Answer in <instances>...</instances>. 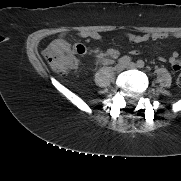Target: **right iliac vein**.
<instances>
[{"mask_svg": "<svg viewBox=\"0 0 181 181\" xmlns=\"http://www.w3.org/2000/svg\"><path fill=\"white\" fill-rule=\"evenodd\" d=\"M125 67H126L125 64L119 63L115 66V71L119 73V72L123 71L125 69Z\"/></svg>", "mask_w": 181, "mask_h": 181, "instance_id": "63e3f726", "label": "right iliac vein"}]
</instances>
